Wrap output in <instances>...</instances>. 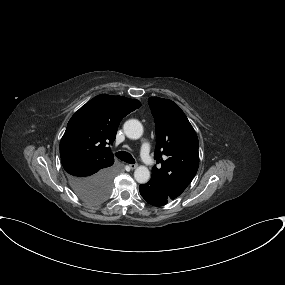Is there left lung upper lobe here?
<instances>
[{
  "instance_id": "5c2ea615",
  "label": "left lung upper lobe",
  "mask_w": 285,
  "mask_h": 285,
  "mask_svg": "<svg viewBox=\"0 0 285 285\" xmlns=\"http://www.w3.org/2000/svg\"><path fill=\"white\" fill-rule=\"evenodd\" d=\"M155 121V159L151 179L159 181L174 198L194 178L199 166L198 138L184 112L171 100L150 97Z\"/></svg>"
}]
</instances>
